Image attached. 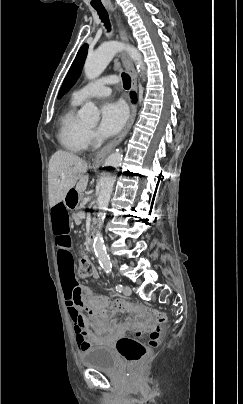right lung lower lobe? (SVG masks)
I'll return each mask as SVG.
<instances>
[{"mask_svg":"<svg viewBox=\"0 0 243 404\" xmlns=\"http://www.w3.org/2000/svg\"><path fill=\"white\" fill-rule=\"evenodd\" d=\"M131 97L133 98V101H136V95H135V93L131 92Z\"/></svg>","mask_w":243,"mask_h":404,"instance_id":"right-lung-lower-lobe-1","label":"right lung lower lobe"}]
</instances>
